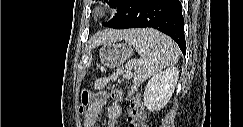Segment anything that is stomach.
<instances>
[{
	"label": "stomach",
	"mask_w": 243,
	"mask_h": 127,
	"mask_svg": "<svg viewBox=\"0 0 243 127\" xmlns=\"http://www.w3.org/2000/svg\"><path fill=\"white\" fill-rule=\"evenodd\" d=\"M101 62L110 68L120 67L132 55L126 44H106L99 52Z\"/></svg>",
	"instance_id": "stomach-1"
}]
</instances>
